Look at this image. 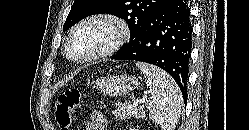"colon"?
<instances>
[{"label": "colon", "instance_id": "colon-1", "mask_svg": "<svg viewBox=\"0 0 249 130\" xmlns=\"http://www.w3.org/2000/svg\"><path fill=\"white\" fill-rule=\"evenodd\" d=\"M80 98V90L76 87L70 88L59 95L54 106V115L61 130H69Z\"/></svg>", "mask_w": 249, "mask_h": 130}]
</instances>
